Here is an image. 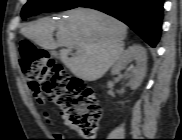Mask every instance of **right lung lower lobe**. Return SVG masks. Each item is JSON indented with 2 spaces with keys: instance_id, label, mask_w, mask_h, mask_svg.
Masks as SVG:
<instances>
[{
  "instance_id": "1",
  "label": "right lung lower lobe",
  "mask_w": 182,
  "mask_h": 140,
  "mask_svg": "<svg viewBox=\"0 0 182 140\" xmlns=\"http://www.w3.org/2000/svg\"><path fill=\"white\" fill-rule=\"evenodd\" d=\"M164 0H86L87 7L109 14L131 27L151 47L160 39Z\"/></svg>"
}]
</instances>
